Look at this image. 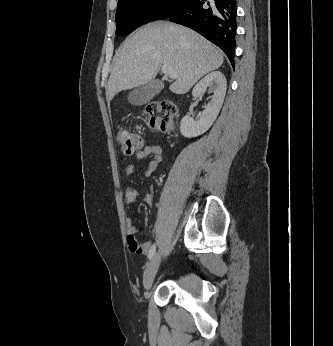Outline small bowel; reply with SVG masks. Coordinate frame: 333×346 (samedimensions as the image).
Listing matches in <instances>:
<instances>
[{
    "label": "small bowel",
    "mask_w": 333,
    "mask_h": 346,
    "mask_svg": "<svg viewBox=\"0 0 333 346\" xmlns=\"http://www.w3.org/2000/svg\"><path fill=\"white\" fill-rule=\"evenodd\" d=\"M137 159L150 158L148 166L145 170L146 176H151L159 163L164 159V150L160 145L147 144L142 149L135 153ZM135 172V166L133 164H128L125 167V174L130 176ZM137 196L135 188L129 187L126 191V203L132 204ZM147 204H151L153 201V187L150 186L148 192L144 198ZM127 227V241L126 246L129 248L131 254H152L153 249L151 242L142 243L138 236V228L135 226L134 221L131 217L126 219Z\"/></svg>",
    "instance_id": "small-bowel-1"
}]
</instances>
